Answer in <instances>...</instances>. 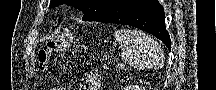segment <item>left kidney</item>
Listing matches in <instances>:
<instances>
[{
    "label": "left kidney",
    "instance_id": "5707ae66",
    "mask_svg": "<svg viewBox=\"0 0 216 90\" xmlns=\"http://www.w3.org/2000/svg\"><path fill=\"white\" fill-rule=\"evenodd\" d=\"M126 90H144V88L142 86H128Z\"/></svg>",
    "mask_w": 216,
    "mask_h": 90
}]
</instances>
